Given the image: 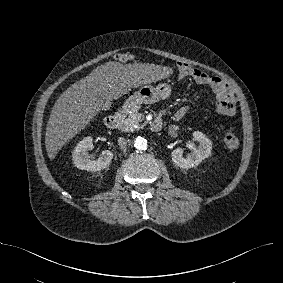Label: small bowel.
I'll use <instances>...</instances> for the list:
<instances>
[{"label": "small bowel", "instance_id": "1", "mask_svg": "<svg viewBox=\"0 0 283 283\" xmlns=\"http://www.w3.org/2000/svg\"><path fill=\"white\" fill-rule=\"evenodd\" d=\"M190 75L193 79L201 85H208L214 91L216 98L218 100L217 112L225 116H233L237 111V102L235 101L233 95L230 93L228 87L222 83L221 79L217 76H210L208 73L201 69L192 68L188 71H181L180 78ZM191 111L190 105H185L178 109L173 114V120L179 121L184 119ZM167 114L166 111H162L159 114V118L162 119L163 116Z\"/></svg>", "mask_w": 283, "mask_h": 283}]
</instances>
